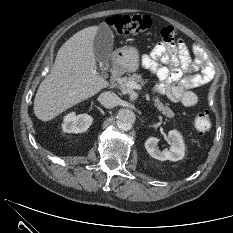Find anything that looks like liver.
<instances>
[{"label":"liver","instance_id":"liver-1","mask_svg":"<svg viewBox=\"0 0 233 233\" xmlns=\"http://www.w3.org/2000/svg\"><path fill=\"white\" fill-rule=\"evenodd\" d=\"M97 30L98 26L84 28L59 49L35 95L34 113L38 119L49 121L109 86L97 72L93 51Z\"/></svg>","mask_w":233,"mask_h":233}]
</instances>
